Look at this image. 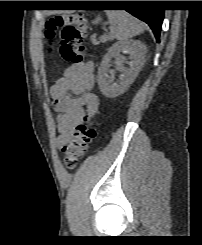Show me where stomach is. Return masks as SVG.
I'll return each mask as SVG.
<instances>
[{
	"label": "stomach",
	"mask_w": 202,
	"mask_h": 245,
	"mask_svg": "<svg viewBox=\"0 0 202 245\" xmlns=\"http://www.w3.org/2000/svg\"><path fill=\"white\" fill-rule=\"evenodd\" d=\"M100 20H101L100 18H97L94 22L98 23Z\"/></svg>",
	"instance_id": "0dacf381"
}]
</instances>
